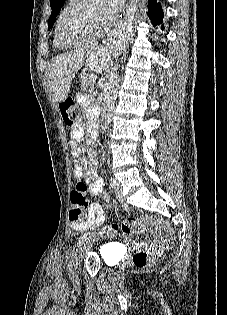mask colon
<instances>
[{
	"label": "colon",
	"mask_w": 227,
	"mask_h": 315,
	"mask_svg": "<svg viewBox=\"0 0 227 315\" xmlns=\"http://www.w3.org/2000/svg\"><path fill=\"white\" fill-rule=\"evenodd\" d=\"M60 110L63 121L66 125H72L77 119L78 108L74 101L66 98L60 103ZM89 211V202L86 197V185L83 181H78L70 194V220L85 221ZM157 219L148 215L143 218L119 219L117 224H109L99 230L103 237H112L119 230L124 234L133 235L141 234L148 230L149 226L156 223ZM154 257L144 251H139L133 256V263L137 268L143 269L152 265Z\"/></svg>",
	"instance_id": "1"
}]
</instances>
